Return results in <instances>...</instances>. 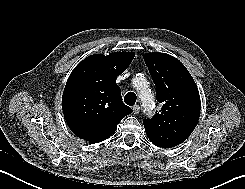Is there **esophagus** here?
I'll return each instance as SVG.
<instances>
[{"label":"esophagus","instance_id":"obj_1","mask_svg":"<svg viewBox=\"0 0 245 189\" xmlns=\"http://www.w3.org/2000/svg\"><path fill=\"white\" fill-rule=\"evenodd\" d=\"M132 109H133V113L134 114H138L139 111H140V106L139 105H134Z\"/></svg>","mask_w":245,"mask_h":189}]
</instances>
